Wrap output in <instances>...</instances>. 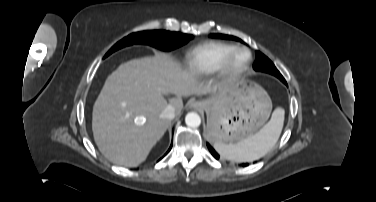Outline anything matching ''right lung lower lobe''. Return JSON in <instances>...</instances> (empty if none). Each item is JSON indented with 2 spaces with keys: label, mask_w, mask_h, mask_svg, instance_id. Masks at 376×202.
Listing matches in <instances>:
<instances>
[{
  "label": "right lung lower lobe",
  "mask_w": 376,
  "mask_h": 202,
  "mask_svg": "<svg viewBox=\"0 0 376 202\" xmlns=\"http://www.w3.org/2000/svg\"><path fill=\"white\" fill-rule=\"evenodd\" d=\"M171 147H172V145L170 146V148H169L168 152L170 151ZM168 152H167V153H168Z\"/></svg>",
  "instance_id": "right-lung-lower-lobe-1"
}]
</instances>
